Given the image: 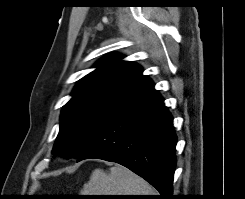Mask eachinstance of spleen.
<instances>
[{
	"label": "spleen",
	"mask_w": 245,
	"mask_h": 199,
	"mask_svg": "<svg viewBox=\"0 0 245 199\" xmlns=\"http://www.w3.org/2000/svg\"><path fill=\"white\" fill-rule=\"evenodd\" d=\"M82 195H157L141 177L124 166L116 165L105 172L96 169L84 184Z\"/></svg>",
	"instance_id": "spleen-1"
}]
</instances>
